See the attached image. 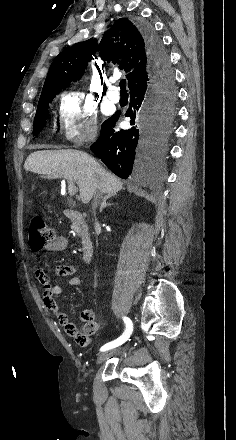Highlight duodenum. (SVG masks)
<instances>
[{
    "label": "duodenum",
    "instance_id": "1",
    "mask_svg": "<svg viewBox=\"0 0 236 440\" xmlns=\"http://www.w3.org/2000/svg\"><path fill=\"white\" fill-rule=\"evenodd\" d=\"M64 215L79 227L82 257L85 262H90L94 254V244L85 227L83 213L77 210L66 208L64 210Z\"/></svg>",
    "mask_w": 236,
    "mask_h": 440
}]
</instances>
